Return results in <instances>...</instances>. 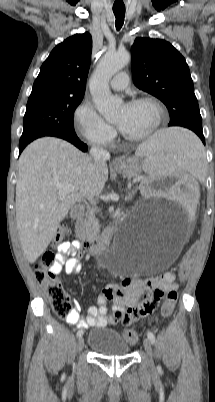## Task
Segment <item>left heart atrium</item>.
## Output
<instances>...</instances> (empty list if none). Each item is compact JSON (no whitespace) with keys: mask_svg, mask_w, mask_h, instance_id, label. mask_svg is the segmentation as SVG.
<instances>
[{"mask_svg":"<svg viewBox=\"0 0 215 402\" xmlns=\"http://www.w3.org/2000/svg\"><path fill=\"white\" fill-rule=\"evenodd\" d=\"M119 127H120L121 130H123L124 129V122H120Z\"/></svg>","mask_w":215,"mask_h":402,"instance_id":"obj_1","label":"left heart atrium"}]
</instances>
